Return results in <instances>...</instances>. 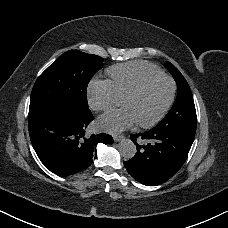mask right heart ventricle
Here are the masks:
<instances>
[{"instance_id": "e07e8e85", "label": "right heart ventricle", "mask_w": 228, "mask_h": 228, "mask_svg": "<svg viewBox=\"0 0 228 228\" xmlns=\"http://www.w3.org/2000/svg\"><path fill=\"white\" fill-rule=\"evenodd\" d=\"M109 73L118 97L123 98L139 87L144 80L161 75L163 71L150 64L133 62L114 66Z\"/></svg>"}]
</instances>
